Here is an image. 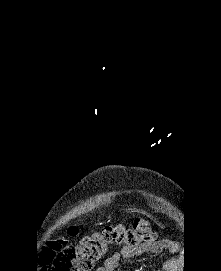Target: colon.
Listing matches in <instances>:
<instances>
[{
    "mask_svg": "<svg viewBox=\"0 0 221 271\" xmlns=\"http://www.w3.org/2000/svg\"><path fill=\"white\" fill-rule=\"evenodd\" d=\"M157 237L154 225L141 217L130 225L106 224L76 244L65 239L50 241L39 253L38 262L42 271H92L113 247L135 249L156 241Z\"/></svg>",
    "mask_w": 221,
    "mask_h": 271,
    "instance_id": "obj_1",
    "label": "colon"
}]
</instances>
